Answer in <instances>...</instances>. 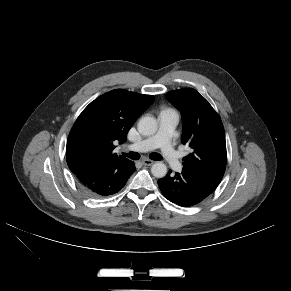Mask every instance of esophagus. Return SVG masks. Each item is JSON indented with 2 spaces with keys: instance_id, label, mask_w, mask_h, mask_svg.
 <instances>
[{
  "instance_id": "obj_1",
  "label": "esophagus",
  "mask_w": 291,
  "mask_h": 291,
  "mask_svg": "<svg viewBox=\"0 0 291 291\" xmlns=\"http://www.w3.org/2000/svg\"><path fill=\"white\" fill-rule=\"evenodd\" d=\"M154 163V161L150 160V159H147V158H144L142 160V164L143 165H146V166H151L152 164Z\"/></svg>"
}]
</instances>
